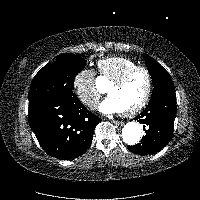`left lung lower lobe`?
<instances>
[{
    "label": "left lung lower lobe",
    "mask_w": 200,
    "mask_h": 200,
    "mask_svg": "<svg viewBox=\"0 0 200 200\" xmlns=\"http://www.w3.org/2000/svg\"><path fill=\"white\" fill-rule=\"evenodd\" d=\"M175 116V93H160L152 97L146 109L136 117L140 123L145 124L146 135L141 143L129 146L128 149L139 155L161 150L173 137Z\"/></svg>",
    "instance_id": "0a47b994"
}]
</instances>
